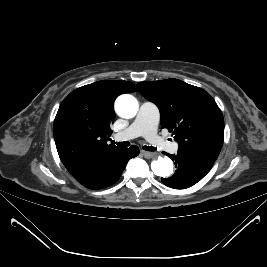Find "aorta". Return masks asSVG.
I'll return each mask as SVG.
<instances>
[{"instance_id":"1","label":"aorta","mask_w":267,"mask_h":267,"mask_svg":"<svg viewBox=\"0 0 267 267\" xmlns=\"http://www.w3.org/2000/svg\"><path fill=\"white\" fill-rule=\"evenodd\" d=\"M139 109L137 99L130 94L120 95L115 101L116 113L125 119H131L136 116ZM151 169L155 175L168 177L173 172V163L167 157H158L151 162Z\"/></svg>"}]
</instances>
